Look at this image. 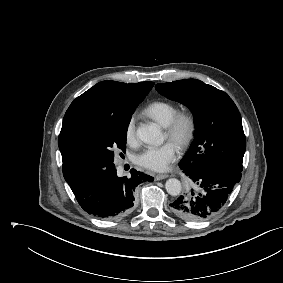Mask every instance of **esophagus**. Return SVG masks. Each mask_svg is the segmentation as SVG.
Listing matches in <instances>:
<instances>
[{
  "mask_svg": "<svg viewBox=\"0 0 283 283\" xmlns=\"http://www.w3.org/2000/svg\"><path fill=\"white\" fill-rule=\"evenodd\" d=\"M169 175H167V174H157L156 176H155V180H162V179H165V178H167Z\"/></svg>",
  "mask_w": 283,
  "mask_h": 283,
  "instance_id": "34e87169",
  "label": "esophagus"
}]
</instances>
